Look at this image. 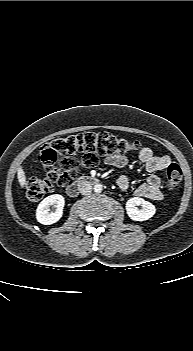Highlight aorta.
<instances>
[{"mask_svg":"<svg viewBox=\"0 0 193 351\" xmlns=\"http://www.w3.org/2000/svg\"><path fill=\"white\" fill-rule=\"evenodd\" d=\"M93 189H94V192L100 193L103 190V186L101 184H95Z\"/></svg>","mask_w":193,"mask_h":351,"instance_id":"aorta-1","label":"aorta"}]
</instances>
